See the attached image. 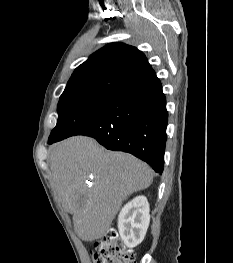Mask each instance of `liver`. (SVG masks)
<instances>
[{"mask_svg": "<svg viewBox=\"0 0 233 263\" xmlns=\"http://www.w3.org/2000/svg\"><path fill=\"white\" fill-rule=\"evenodd\" d=\"M50 170L61 203L73 215L75 232L84 241L102 238L122 202L153 180L151 168L143 161L107 151L86 136L53 145Z\"/></svg>", "mask_w": 233, "mask_h": 263, "instance_id": "liver-1", "label": "liver"}]
</instances>
